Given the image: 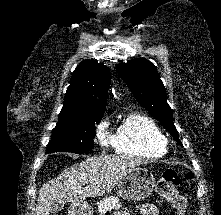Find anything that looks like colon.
<instances>
[{"label": "colon", "instance_id": "5ec220e1", "mask_svg": "<svg viewBox=\"0 0 221 215\" xmlns=\"http://www.w3.org/2000/svg\"><path fill=\"white\" fill-rule=\"evenodd\" d=\"M191 178V173L182 177L176 171L168 169L163 172L157 183L156 190L158 194L173 206L178 215H185L187 201L186 198L179 193L177 187L183 180H189Z\"/></svg>", "mask_w": 221, "mask_h": 215}]
</instances>
